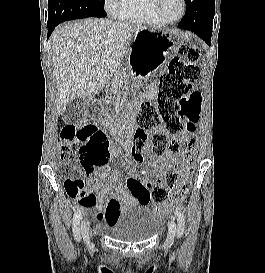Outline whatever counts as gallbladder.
Wrapping results in <instances>:
<instances>
[{
	"mask_svg": "<svg viewBox=\"0 0 265 273\" xmlns=\"http://www.w3.org/2000/svg\"><path fill=\"white\" fill-rule=\"evenodd\" d=\"M85 110V99H74L70 101L63 114L62 119L67 123H75L78 122Z\"/></svg>",
	"mask_w": 265,
	"mask_h": 273,
	"instance_id": "1",
	"label": "gallbladder"
}]
</instances>
